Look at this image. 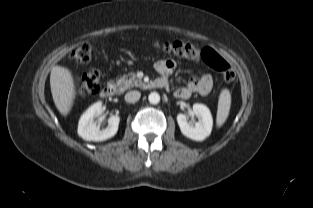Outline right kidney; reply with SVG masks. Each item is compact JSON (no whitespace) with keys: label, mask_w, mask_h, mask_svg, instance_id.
<instances>
[{"label":"right kidney","mask_w":313,"mask_h":208,"mask_svg":"<svg viewBox=\"0 0 313 208\" xmlns=\"http://www.w3.org/2000/svg\"><path fill=\"white\" fill-rule=\"evenodd\" d=\"M103 112L102 102H96L90 106L81 116L78 124V135L86 141H104L113 137L117 131L120 122L119 116L115 115L109 118L107 128L100 130L96 125L94 118L99 117Z\"/></svg>","instance_id":"1"}]
</instances>
